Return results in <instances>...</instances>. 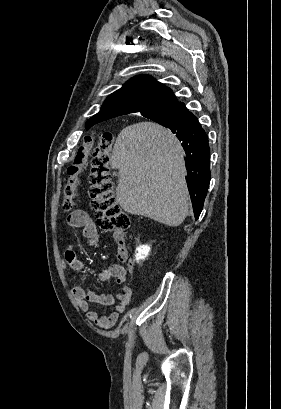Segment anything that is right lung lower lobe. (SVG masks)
I'll use <instances>...</instances> for the list:
<instances>
[{
    "mask_svg": "<svg viewBox=\"0 0 281 409\" xmlns=\"http://www.w3.org/2000/svg\"><path fill=\"white\" fill-rule=\"evenodd\" d=\"M141 114L149 119L176 117L178 121L168 128L182 141L187 160L185 161L189 181V193L195 219L199 218L210 183L208 138L198 119L181 102L161 109H152Z\"/></svg>",
    "mask_w": 281,
    "mask_h": 409,
    "instance_id": "obj_1",
    "label": "right lung lower lobe"
}]
</instances>
